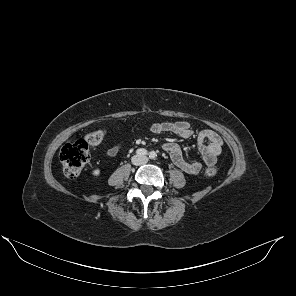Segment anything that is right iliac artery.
Listing matches in <instances>:
<instances>
[{
  "instance_id": "1",
  "label": "right iliac artery",
  "mask_w": 296,
  "mask_h": 296,
  "mask_svg": "<svg viewBox=\"0 0 296 296\" xmlns=\"http://www.w3.org/2000/svg\"><path fill=\"white\" fill-rule=\"evenodd\" d=\"M136 153L140 156L148 155V152L146 149L140 148L136 151Z\"/></svg>"
}]
</instances>
